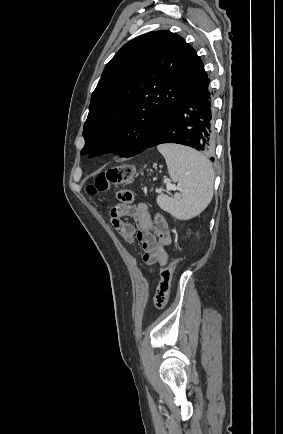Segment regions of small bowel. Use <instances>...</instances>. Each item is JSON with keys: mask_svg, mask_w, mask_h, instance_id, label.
<instances>
[{"mask_svg": "<svg viewBox=\"0 0 283 434\" xmlns=\"http://www.w3.org/2000/svg\"><path fill=\"white\" fill-rule=\"evenodd\" d=\"M109 216L112 226L128 243L138 241L141 244L145 267L167 264L171 236L162 215L157 214L153 219L147 205L139 203L136 207L116 205L110 209ZM125 216L132 217L135 224L125 222Z\"/></svg>", "mask_w": 283, "mask_h": 434, "instance_id": "small-bowel-1", "label": "small bowel"}]
</instances>
